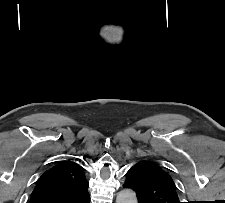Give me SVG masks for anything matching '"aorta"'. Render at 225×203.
<instances>
[{"label": "aorta", "instance_id": "1", "mask_svg": "<svg viewBox=\"0 0 225 203\" xmlns=\"http://www.w3.org/2000/svg\"><path fill=\"white\" fill-rule=\"evenodd\" d=\"M116 203H138V201L135 192L124 189L118 193Z\"/></svg>", "mask_w": 225, "mask_h": 203}]
</instances>
